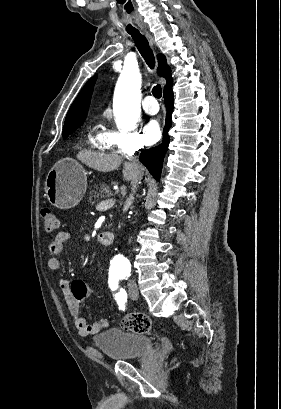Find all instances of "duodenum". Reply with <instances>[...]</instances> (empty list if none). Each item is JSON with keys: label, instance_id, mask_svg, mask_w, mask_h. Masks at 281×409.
Wrapping results in <instances>:
<instances>
[{"label": "duodenum", "instance_id": "obj_1", "mask_svg": "<svg viewBox=\"0 0 281 409\" xmlns=\"http://www.w3.org/2000/svg\"><path fill=\"white\" fill-rule=\"evenodd\" d=\"M98 241L102 245H110L113 241V234L110 232H103L98 235Z\"/></svg>", "mask_w": 281, "mask_h": 409}]
</instances>
